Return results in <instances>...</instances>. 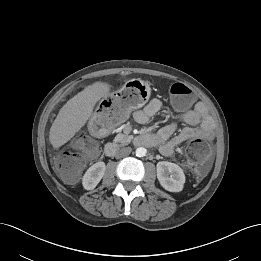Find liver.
<instances>
[{"instance_id": "6515ba94", "label": "liver", "mask_w": 261, "mask_h": 261, "mask_svg": "<svg viewBox=\"0 0 261 261\" xmlns=\"http://www.w3.org/2000/svg\"><path fill=\"white\" fill-rule=\"evenodd\" d=\"M110 85L95 82L71 98L59 111L49 133L54 148L67 143L87 122L95 104L109 94Z\"/></svg>"}]
</instances>
